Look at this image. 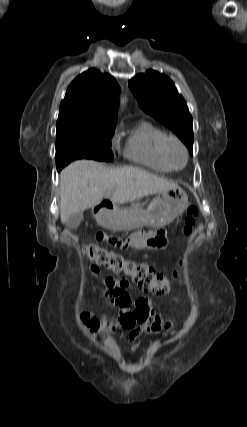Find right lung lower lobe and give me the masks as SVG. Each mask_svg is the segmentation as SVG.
I'll list each match as a JSON object with an SVG mask.
<instances>
[{
    "label": "right lung lower lobe",
    "mask_w": 247,
    "mask_h": 427,
    "mask_svg": "<svg viewBox=\"0 0 247 427\" xmlns=\"http://www.w3.org/2000/svg\"><path fill=\"white\" fill-rule=\"evenodd\" d=\"M58 171H60L61 169L57 166Z\"/></svg>",
    "instance_id": "98d812e1"
}]
</instances>
